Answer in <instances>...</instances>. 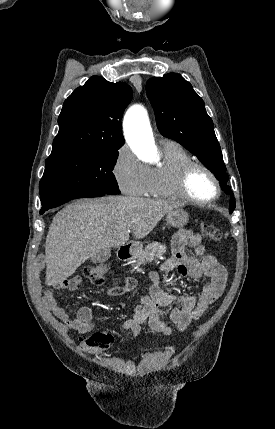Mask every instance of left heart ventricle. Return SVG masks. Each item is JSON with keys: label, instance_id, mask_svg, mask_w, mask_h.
<instances>
[{"label": "left heart ventricle", "instance_id": "1", "mask_svg": "<svg viewBox=\"0 0 275 429\" xmlns=\"http://www.w3.org/2000/svg\"><path fill=\"white\" fill-rule=\"evenodd\" d=\"M188 187L191 195L199 200L210 199L216 193L214 181L201 169H197L192 173Z\"/></svg>", "mask_w": 275, "mask_h": 429}]
</instances>
